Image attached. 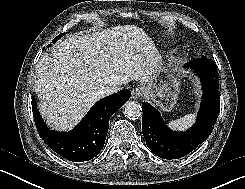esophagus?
I'll use <instances>...</instances> for the list:
<instances>
[{
  "label": "esophagus",
  "mask_w": 245,
  "mask_h": 189,
  "mask_svg": "<svg viewBox=\"0 0 245 189\" xmlns=\"http://www.w3.org/2000/svg\"><path fill=\"white\" fill-rule=\"evenodd\" d=\"M142 93H143V92H142V89L136 87V88L132 89V91H131V97H132L134 100H137V99H139V98L141 97Z\"/></svg>",
  "instance_id": "1"
}]
</instances>
